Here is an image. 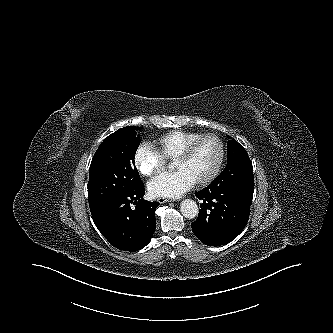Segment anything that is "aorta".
<instances>
[{
	"instance_id": "1",
	"label": "aorta",
	"mask_w": 333,
	"mask_h": 333,
	"mask_svg": "<svg viewBox=\"0 0 333 333\" xmlns=\"http://www.w3.org/2000/svg\"><path fill=\"white\" fill-rule=\"evenodd\" d=\"M180 211L185 218L193 219L199 213V208L195 201L185 199L180 204Z\"/></svg>"
}]
</instances>
